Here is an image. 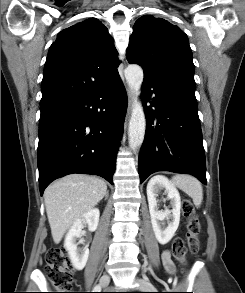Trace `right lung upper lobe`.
<instances>
[{"label":"right lung upper lobe","mask_w":245,"mask_h":293,"mask_svg":"<svg viewBox=\"0 0 245 293\" xmlns=\"http://www.w3.org/2000/svg\"><path fill=\"white\" fill-rule=\"evenodd\" d=\"M119 59L105 25L89 18L62 30L46 59L41 108L59 107L118 76Z\"/></svg>","instance_id":"1"}]
</instances>
